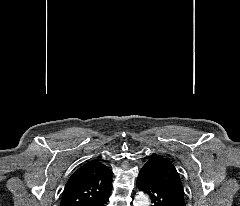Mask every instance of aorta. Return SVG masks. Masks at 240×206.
I'll return each instance as SVG.
<instances>
[{
	"instance_id": "1",
	"label": "aorta",
	"mask_w": 240,
	"mask_h": 206,
	"mask_svg": "<svg viewBox=\"0 0 240 206\" xmlns=\"http://www.w3.org/2000/svg\"><path fill=\"white\" fill-rule=\"evenodd\" d=\"M134 206H150V199L149 196L143 193H138L135 196L133 201Z\"/></svg>"
}]
</instances>
